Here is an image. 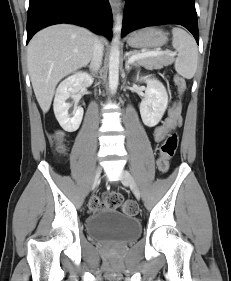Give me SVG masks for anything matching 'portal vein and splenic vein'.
I'll list each match as a JSON object with an SVG mask.
<instances>
[{
	"label": "portal vein and splenic vein",
	"instance_id": "18ae733b",
	"mask_svg": "<svg viewBox=\"0 0 231 281\" xmlns=\"http://www.w3.org/2000/svg\"><path fill=\"white\" fill-rule=\"evenodd\" d=\"M163 54H168L170 56H174L176 55L175 52H170V51H161V50H156V51H147V52H143V53H138L136 55H133L131 57H129V63H133L139 59H143L146 57H150V56H158V55H163Z\"/></svg>",
	"mask_w": 231,
	"mask_h": 281
}]
</instances>
